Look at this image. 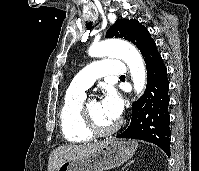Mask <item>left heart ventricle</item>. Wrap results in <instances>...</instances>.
<instances>
[{"label": "left heart ventricle", "instance_id": "left-heart-ventricle-1", "mask_svg": "<svg viewBox=\"0 0 199 171\" xmlns=\"http://www.w3.org/2000/svg\"><path fill=\"white\" fill-rule=\"evenodd\" d=\"M88 108L99 125L110 126L115 123V121L110 120L104 115L99 100H90L88 102Z\"/></svg>", "mask_w": 199, "mask_h": 171}]
</instances>
